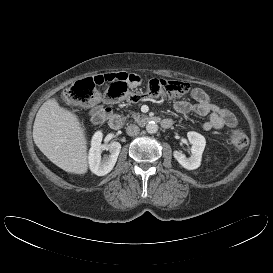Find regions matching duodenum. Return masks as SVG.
I'll return each mask as SVG.
<instances>
[{
    "label": "duodenum",
    "instance_id": "410a0bca",
    "mask_svg": "<svg viewBox=\"0 0 273 273\" xmlns=\"http://www.w3.org/2000/svg\"><path fill=\"white\" fill-rule=\"evenodd\" d=\"M104 114V112H102L100 114V117H102V115ZM107 121L108 124L110 126L111 129L113 130H118L120 129L121 125H122V121L119 115L117 114H110L107 116ZM153 122L156 123H160L164 128H169L172 126V121L169 119H163L160 120L159 118H152L150 116H142L138 119V123L141 126H147Z\"/></svg>",
    "mask_w": 273,
    "mask_h": 273
}]
</instances>
